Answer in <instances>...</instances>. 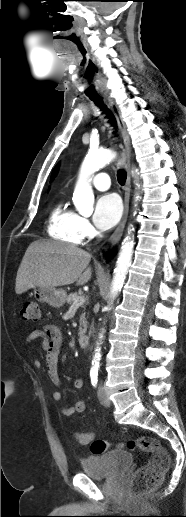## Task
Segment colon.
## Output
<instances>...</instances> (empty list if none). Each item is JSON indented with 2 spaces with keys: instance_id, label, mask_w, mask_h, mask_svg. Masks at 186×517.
<instances>
[{
  "instance_id": "colon-1",
  "label": "colon",
  "mask_w": 186,
  "mask_h": 517,
  "mask_svg": "<svg viewBox=\"0 0 186 517\" xmlns=\"http://www.w3.org/2000/svg\"><path fill=\"white\" fill-rule=\"evenodd\" d=\"M21 317L24 320L37 321L40 317L39 304L36 301L25 302L21 309ZM85 440V437L77 435V441L84 442ZM89 443L91 453L94 455L105 453L111 447L110 442L101 439L92 438ZM117 448L139 449L151 454L148 463L140 467L131 480L129 493L132 498H142L159 486L165 472L170 467V456L158 440L151 437H139L119 443Z\"/></svg>"
}]
</instances>
